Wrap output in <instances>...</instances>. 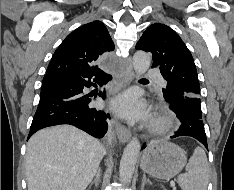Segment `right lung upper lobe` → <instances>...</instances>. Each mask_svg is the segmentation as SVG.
<instances>
[{"instance_id":"cb5924a9","label":"right lung upper lobe","mask_w":234,"mask_h":190,"mask_svg":"<svg viewBox=\"0 0 234 190\" xmlns=\"http://www.w3.org/2000/svg\"><path fill=\"white\" fill-rule=\"evenodd\" d=\"M113 50L105 25L100 21L87 23L70 33L57 48L43 80L65 71L94 67L102 55Z\"/></svg>"}]
</instances>
